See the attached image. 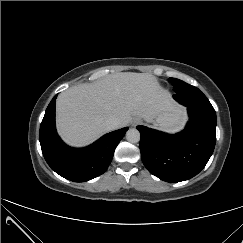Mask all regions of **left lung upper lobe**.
<instances>
[{
	"instance_id": "left-lung-upper-lobe-1",
	"label": "left lung upper lobe",
	"mask_w": 243,
	"mask_h": 243,
	"mask_svg": "<svg viewBox=\"0 0 243 243\" xmlns=\"http://www.w3.org/2000/svg\"><path fill=\"white\" fill-rule=\"evenodd\" d=\"M170 81L172 85L174 86L175 91H181L182 89H185L189 84L185 83L182 80L176 79V78H170ZM204 101L203 104H201L202 107H212L211 103L209 100L206 98L204 95Z\"/></svg>"
}]
</instances>
